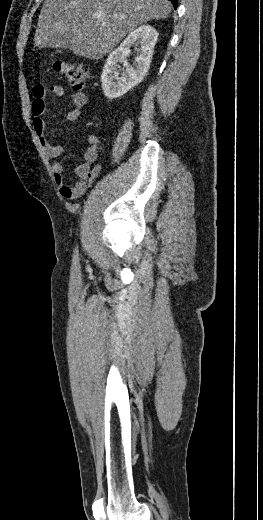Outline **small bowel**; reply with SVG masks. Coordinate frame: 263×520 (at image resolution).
Listing matches in <instances>:
<instances>
[{
	"label": "small bowel",
	"mask_w": 263,
	"mask_h": 520,
	"mask_svg": "<svg viewBox=\"0 0 263 520\" xmlns=\"http://www.w3.org/2000/svg\"><path fill=\"white\" fill-rule=\"evenodd\" d=\"M32 93V124L45 155L49 159H53L51 168L55 182L59 187L60 194L64 198L76 199L85 193L99 174L100 166L96 164V161L101 151L100 143L96 136L90 135L88 137V147L84 154V161L75 168L78 181L68 184L63 173V166L56 160L63 153V147L59 144H53L47 139L43 119L46 110V99L48 97H62L66 91L61 85H53L50 88H46L43 85L36 84L32 89ZM70 100L72 108L65 114V119L67 121H76L80 116L81 109L86 105L88 97L85 93L76 92L70 95Z\"/></svg>",
	"instance_id": "1"
}]
</instances>
